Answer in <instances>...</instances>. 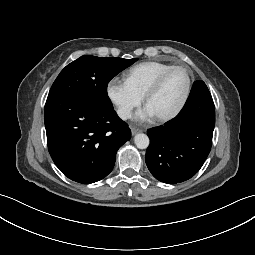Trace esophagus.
I'll use <instances>...</instances> for the list:
<instances>
[{
    "label": "esophagus",
    "mask_w": 255,
    "mask_h": 255,
    "mask_svg": "<svg viewBox=\"0 0 255 255\" xmlns=\"http://www.w3.org/2000/svg\"><path fill=\"white\" fill-rule=\"evenodd\" d=\"M139 132H141V130H140V129H137V128H131V133H132V135H135V134H137V133H139Z\"/></svg>",
    "instance_id": "1"
}]
</instances>
